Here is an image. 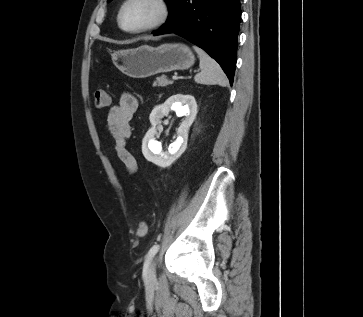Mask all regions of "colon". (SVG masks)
Returning a JSON list of instances; mask_svg holds the SVG:
<instances>
[{
	"mask_svg": "<svg viewBox=\"0 0 363 317\" xmlns=\"http://www.w3.org/2000/svg\"><path fill=\"white\" fill-rule=\"evenodd\" d=\"M93 104L96 108H106L110 104V96L105 90H97L93 95ZM147 227L144 222H141L136 227V234L142 236L146 233Z\"/></svg>",
	"mask_w": 363,
	"mask_h": 317,
	"instance_id": "obj_1",
	"label": "colon"
}]
</instances>
